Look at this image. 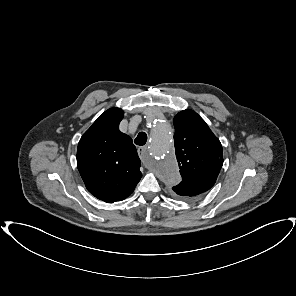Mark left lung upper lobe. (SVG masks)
I'll return each mask as SVG.
<instances>
[{
  "instance_id": "left-lung-upper-lobe-1",
  "label": "left lung upper lobe",
  "mask_w": 296,
  "mask_h": 296,
  "mask_svg": "<svg viewBox=\"0 0 296 296\" xmlns=\"http://www.w3.org/2000/svg\"><path fill=\"white\" fill-rule=\"evenodd\" d=\"M174 144L182 181L172 187L173 195L194 201L216 182L223 165L219 139L193 110L186 109L174 117Z\"/></svg>"
}]
</instances>
